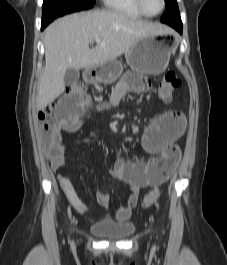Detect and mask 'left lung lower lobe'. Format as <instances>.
I'll return each mask as SVG.
<instances>
[{
	"mask_svg": "<svg viewBox=\"0 0 227 265\" xmlns=\"http://www.w3.org/2000/svg\"><path fill=\"white\" fill-rule=\"evenodd\" d=\"M172 26L173 28H175L180 34L182 33V23L181 24H175V23H172Z\"/></svg>",
	"mask_w": 227,
	"mask_h": 265,
	"instance_id": "1",
	"label": "left lung lower lobe"
}]
</instances>
